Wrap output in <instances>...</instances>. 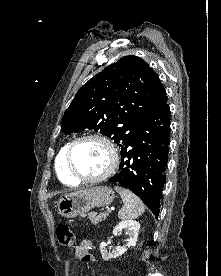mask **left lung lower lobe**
Here are the masks:
<instances>
[{
    "label": "left lung lower lobe",
    "instance_id": "left-lung-lower-lobe-1",
    "mask_svg": "<svg viewBox=\"0 0 221 276\" xmlns=\"http://www.w3.org/2000/svg\"><path fill=\"white\" fill-rule=\"evenodd\" d=\"M169 136L170 108L166 103L121 148L119 171L109 179L139 196L156 218L166 180Z\"/></svg>",
    "mask_w": 221,
    "mask_h": 276
}]
</instances>
